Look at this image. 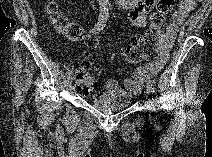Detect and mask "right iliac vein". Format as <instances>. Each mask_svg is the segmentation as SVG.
Instances as JSON below:
<instances>
[{"label": "right iliac vein", "instance_id": "1", "mask_svg": "<svg viewBox=\"0 0 212 157\" xmlns=\"http://www.w3.org/2000/svg\"><path fill=\"white\" fill-rule=\"evenodd\" d=\"M71 83H72V79H71V77H68L67 80H66L67 88L71 87Z\"/></svg>", "mask_w": 212, "mask_h": 157}]
</instances>
